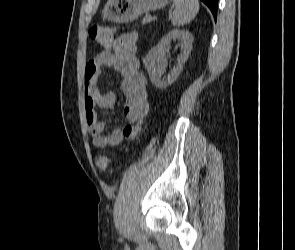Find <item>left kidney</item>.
<instances>
[{
  "mask_svg": "<svg viewBox=\"0 0 295 250\" xmlns=\"http://www.w3.org/2000/svg\"><path fill=\"white\" fill-rule=\"evenodd\" d=\"M181 40L184 44L183 53L178 56V65L173 68L167 78L161 79L166 70V50L172 40ZM193 36L189 31L174 29L169 31L159 42L152 48L143 60V63L149 73L152 83L157 88H166L171 85L180 75L183 64L188 59L192 50Z\"/></svg>",
  "mask_w": 295,
  "mask_h": 250,
  "instance_id": "1",
  "label": "left kidney"
}]
</instances>
